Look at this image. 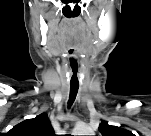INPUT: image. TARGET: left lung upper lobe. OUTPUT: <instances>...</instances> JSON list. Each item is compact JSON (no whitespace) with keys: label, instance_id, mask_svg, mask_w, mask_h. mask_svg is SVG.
Wrapping results in <instances>:
<instances>
[{"label":"left lung upper lobe","instance_id":"1","mask_svg":"<svg viewBox=\"0 0 151 136\" xmlns=\"http://www.w3.org/2000/svg\"><path fill=\"white\" fill-rule=\"evenodd\" d=\"M99 131L103 136H124L126 134L124 129L108 125V122L106 121L100 123Z\"/></svg>","mask_w":151,"mask_h":136}]
</instances>
